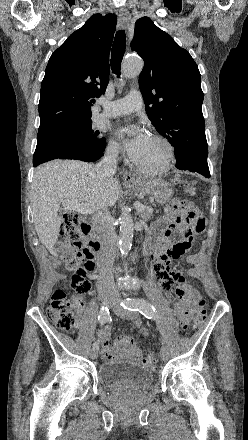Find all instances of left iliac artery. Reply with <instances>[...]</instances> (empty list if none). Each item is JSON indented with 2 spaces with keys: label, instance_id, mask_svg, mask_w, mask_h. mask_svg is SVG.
I'll return each instance as SVG.
<instances>
[{
  "label": "left iliac artery",
  "instance_id": "44dca946",
  "mask_svg": "<svg viewBox=\"0 0 248 440\" xmlns=\"http://www.w3.org/2000/svg\"><path fill=\"white\" fill-rule=\"evenodd\" d=\"M124 309L138 311L148 319H156L157 311L153 305L143 298H127L121 302Z\"/></svg>",
  "mask_w": 248,
  "mask_h": 440
}]
</instances>
